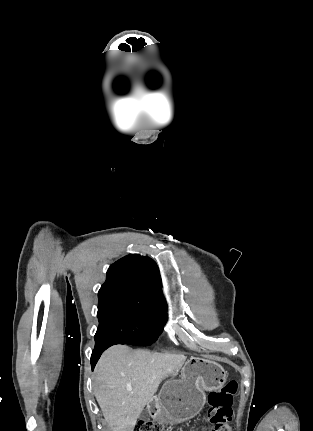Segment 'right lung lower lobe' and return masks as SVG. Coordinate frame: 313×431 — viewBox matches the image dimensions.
<instances>
[{"instance_id": "obj_1", "label": "right lung lower lobe", "mask_w": 313, "mask_h": 431, "mask_svg": "<svg viewBox=\"0 0 313 431\" xmlns=\"http://www.w3.org/2000/svg\"><path fill=\"white\" fill-rule=\"evenodd\" d=\"M117 343L115 342H106V343H102L99 345H95V348L92 352V356H91V366H92V370L94 369L98 359L100 358L101 354L110 346L115 345Z\"/></svg>"}]
</instances>
